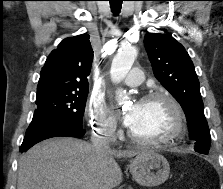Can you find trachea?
<instances>
[{"instance_id":"3493384b","label":"trachea","mask_w":223,"mask_h":189,"mask_svg":"<svg viewBox=\"0 0 223 189\" xmlns=\"http://www.w3.org/2000/svg\"><path fill=\"white\" fill-rule=\"evenodd\" d=\"M123 0H109L111 10L114 14H118L121 10Z\"/></svg>"}]
</instances>
